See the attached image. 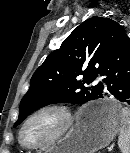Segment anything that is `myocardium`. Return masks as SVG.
<instances>
[{
	"label": "myocardium",
	"instance_id": "myocardium-1",
	"mask_svg": "<svg viewBox=\"0 0 130 153\" xmlns=\"http://www.w3.org/2000/svg\"><path fill=\"white\" fill-rule=\"evenodd\" d=\"M48 113L55 114L59 118L60 123L58 129L50 137H48L46 140L40 143L28 144L24 142L23 134L26 127L30 124V122L33 121L38 116ZM74 122H75V115L71 110V108L68 107L67 105L59 103H50L43 105L37 108L36 110H34L32 113H30L23 121L18 132V141L22 147L32 150L52 145L53 143L63 138L69 132Z\"/></svg>",
	"mask_w": 130,
	"mask_h": 153
}]
</instances>
